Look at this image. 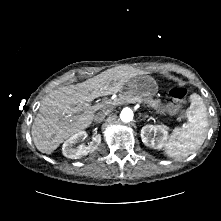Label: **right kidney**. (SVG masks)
Segmentation results:
<instances>
[{
    "label": "right kidney",
    "instance_id": "ca27d5eb",
    "mask_svg": "<svg viewBox=\"0 0 221 221\" xmlns=\"http://www.w3.org/2000/svg\"><path fill=\"white\" fill-rule=\"evenodd\" d=\"M87 137V133L85 131H79L76 134L72 135L68 140H66L62 146V153L65 157L71 159H79L83 156L88 155L90 152L96 150L101 143V135L97 134L93 138V141L89 146L79 145L78 147H74V145L79 141L83 140Z\"/></svg>",
    "mask_w": 221,
    "mask_h": 221
}]
</instances>
